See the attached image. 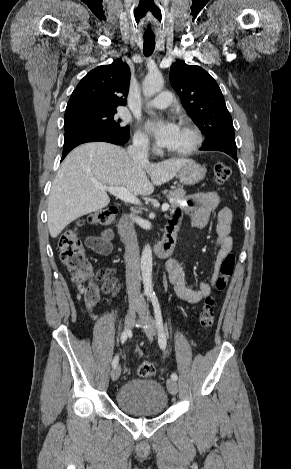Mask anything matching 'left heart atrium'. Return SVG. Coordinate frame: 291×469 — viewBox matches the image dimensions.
<instances>
[{
  "label": "left heart atrium",
  "mask_w": 291,
  "mask_h": 469,
  "mask_svg": "<svg viewBox=\"0 0 291 469\" xmlns=\"http://www.w3.org/2000/svg\"><path fill=\"white\" fill-rule=\"evenodd\" d=\"M146 129L160 146L168 147L176 136L178 125L169 119H151L147 121Z\"/></svg>",
  "instance_id": "obj_1"
}]
</instances>
